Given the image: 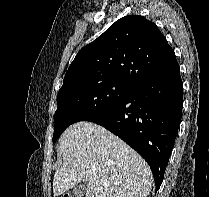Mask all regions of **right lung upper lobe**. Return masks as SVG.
I'll return each mask as SVG.
<instances>
[{"label":"right lung upper lobe","instance_id":"cb5924a9","mask_svg":"<svg viewBox=\"0 0 209 197\" xmlns=\"http://www.w3.org/2000/svg\"><path fill=\"white\" fill-rule=\"evenodd\" d=\"M175 61L173 49L156 24L140 15L125 16L78 52L62 87L104 80L135 87Z\"/></svg>","mask_w":209,"mask_h":197}]
</instances>
